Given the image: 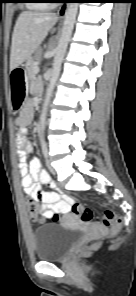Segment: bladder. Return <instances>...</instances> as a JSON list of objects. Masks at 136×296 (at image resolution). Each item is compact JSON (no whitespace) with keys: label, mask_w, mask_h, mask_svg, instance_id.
<instances>
[{"label":"bladder","mask_w":136,"mask_h":296,"mask_svg":"<svg viewBox=\"0 0 136 296\" xmlns=\"http://www.w3.org/2000/svg\"><path fill=\"white\" fill-rule=\"evenodd\" d=\"M78 230L48 223L33 231L34 254L39 261H56L66 256L77 241Z\"/></svg>","instance_id":"bladder-1"}]
</instances>
